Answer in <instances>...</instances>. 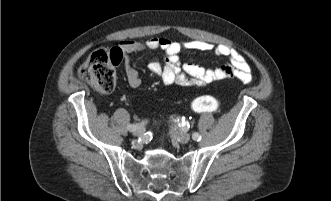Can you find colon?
<instances>
[{
	"label": "colon",
	"mask_w": 331,
	"mask_h": 201,
	"mask_svg": "<svg viewBox=\"0 0 331 201\" xmlns=\"http://www.w3.org/2000/svg\"><path fill=\"white\" fill-rule=\"evenodd\" d=\"M79 76L97 92L110 93L116 83L112 54L102 49L95 50L80 67ZM220 106V100L212 95L197 97L191 103V108L195 112H216Z\"/></svg>",
	"instance_id": "5ec220e1"
}]
</instances>
